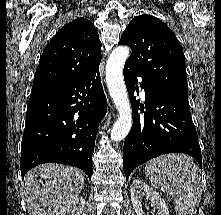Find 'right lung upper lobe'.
Returning a JSON list of instances; mask_svg holds the SVG:
<instances>
[{"instance_id":"right-lung-upper-lobe-1","label":"right lung upper lobe","mask_w":221,"mask_h":215,"mask_svg":"<svg viewBox=\"0 0 221 215\" xmlns=\"http://www.w3.org/2000/svg\"><path fill=\"white\" fill-rule=\"evenodd\" d=\"M101 61L95 26L78 18L62 27L43 51L31 95L53 90L88 73Z\"/></svg>"}]
</instances>
